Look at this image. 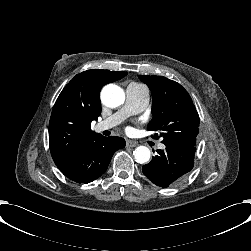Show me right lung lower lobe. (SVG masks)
<instances>
[{
    "label": "right lung lower lobe",
    "instance_id": "1",
    "mask_svg": "<svg viewBox=\"0 0 251 251\" xmlns=\"http://www.w3.org/2000/svg\"><path fill=\"white\" fill-rule=\"evenodd\" d=\"M124 147L123 138L99 134L80 153L57 167L70 180L87 184L99 178L107 170L113 154Z\"/></svg>",
    "mask_w": 251,
    "mask_h": 251
}]
</instances>
